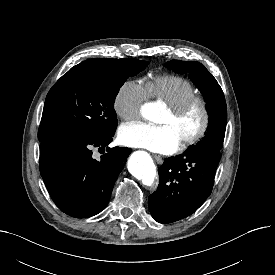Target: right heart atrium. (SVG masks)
<instances>
[{
	"instance_id": "1",
	"label": "right heart atrium",
	"mask_w": 275,
	"mask_h": 275,
	"mask_svg": "<svg viewBox=\"0 0 275 275\" xmlns=\"http://www.w3.org/2000/svg\"><path fill=\"white\" fill-rule=\"evenodd\" d=\"M147 99L145 85L137 80H126L114 95V112L123 121L136 119L140 116L141 108Z\"/></svg>"
}]
</instances>
